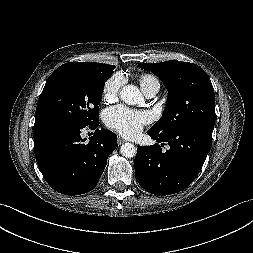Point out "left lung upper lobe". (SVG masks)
Segmentation results:
<instances>
[{
  "label": "left lung upper lobe",
  "mask_w": 253,
  "mask_h": 253,
  "mask_svg": "<svg viewBox=\"0 0 253 253\" xmlns=\"http://www.w3.org/2000/svg\"><path fill=\"white\" fill-rule=\"evenodd\" d=\"M139 66L158 76L169 92L163 115L150 131L167 136L181 127L199 123L214 126L215 95L203 69L193 63L173 60Z\"/></svg>",
  "instance_id": "5c2ea615"
}]
</instances>
